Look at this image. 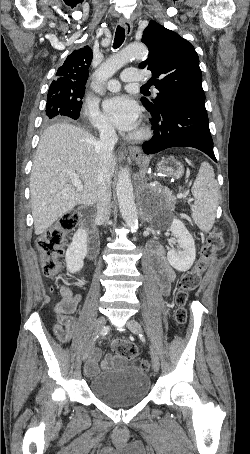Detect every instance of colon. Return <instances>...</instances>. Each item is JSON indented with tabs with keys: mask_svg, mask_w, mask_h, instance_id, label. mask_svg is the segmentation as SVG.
<instances>
[{
	"mask_svg": "<svg viewBox=\"0 0 250 454\" xmlns=\"http://www.w3.org/2000/svg\"><path fill=\"white\" fill-rule=\"evenodd\" d=\"M78 222L77 215L73 212L63 215L53 226L42 234L37 242V248L41 257L43 274L47 277H56L61 268L60 258L63 255V248L68 235L75 229ZM223 247V237L219 229L210 232L202 244L199 256L194 266L186 271L179 281L175 293V304L177 306L175 319L177 323L184 324L187 320L185 305L188 302L189 294L197 288L203 273L207 270L212 257ZM114 354L126 358H135L137 351L133 344L124 340H115L112 344ZM143 369L148 368L146 361L141 362Z\"/></svg>",
	"mask_w": 250,
	"mask_h": 454,
	"instance_id": "colon-1",
	"label": "colon"
}]
</instances>
